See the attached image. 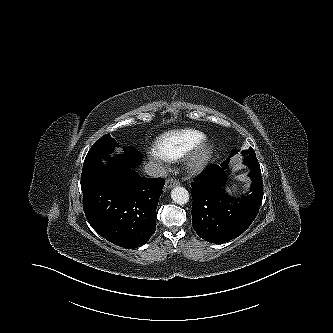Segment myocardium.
<instances>
[{
    "mask_svg": "<svg viewBox=\"0 0 333 333\" xmlns=\"http://www.w3.org/2000/svg\"><path fill=\"white\" fill-rule=\"evenodd\" d=\"M214 152V145L210 142H202L196 147L187 160V168L192 173L203 171L210 163Z\"/></svg>",
    "mask_w": 333,
    "mask_h": 333,
    "instance_id": "1",
    "label": "myocardium"
}]
</instances>
